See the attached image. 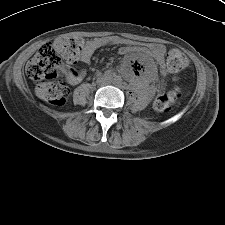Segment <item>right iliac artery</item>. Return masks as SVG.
I'll return each mask as SVG.
<instances>
[{"mask_svg": "<svg viewBox=\"0 0 225 225\" xmlns=\"http://www.w3.org/2000/svg\"><path fill=\"white\" fill-rule=\"evenodd\" d=\"M113 76V73L111 72V71H105V73H104V77L105 78H111Z\"/></svg>", "mask_w": 225, "mask_h": 225, "instance_id": "1", "label": "right iliac artery"}]
</instances>
